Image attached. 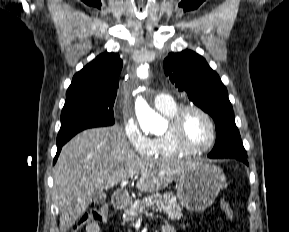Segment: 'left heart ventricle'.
I'll return each instance as SVG.
<instances>
[{
    "label": "left heart ventricle",
    "mask_w": 289,
    "mask_h": 232,
    "mask_svg": "<svg viewBox=\"0 0 289 232\" xmlns=\"http://www.w3.org/2000/svg\"><path fill=\"white\" fill-rule=\"evenodd\" d=\"M183 134L188 144L197 147L208 142L211 132L205 118L199 113L191 111L184 117Z\"/></svg>",
    "instance_id": "b2bd125f"
}]
</instances>
